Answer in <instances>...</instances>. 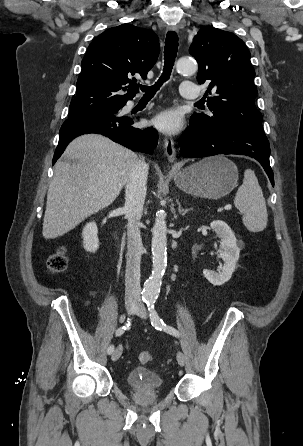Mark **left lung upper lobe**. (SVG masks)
<instances>
[{"label": "left lung upper lobe", "mask_w": 303, "mask_h": 446, "mask_svg": "<svg viewBox=\"0 0 303 446\" xmlns=\"http://www.w3.org/2000/svg\"><path fill=\"white\" fill-rule=\"evenodd\" d=\"M189 52L199 64L198 83L209 85L207 106L212 111L210 116L194 113L190 121L266 137L262 114L254 103L255 71L244 42L231 32L203 27L194 37Z\"/></svg>", "instance_id": "left-lung-upper-lobe-1"}]
</instances>
